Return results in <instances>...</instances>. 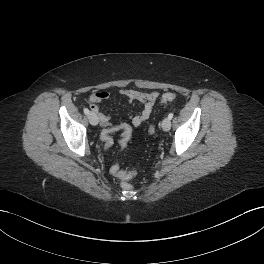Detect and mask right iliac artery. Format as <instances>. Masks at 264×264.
<instances>
[{
  "label": "right iliac artery",
  "mask_w": 264,
  "mask_h": 264,
  "mask_svg": "<svg viewBox=\"0 0 264 264\" xmlns=\"http://www.w3.org/2000/svg\"><path fill=\"white\" fill-rule=\"evenodd\" d=\"M84 113L88 115L90 113L89 109L84 108Z\"/></svg>",
  "instance_id": "right-iliac-artery-1"
}]
</instances>
